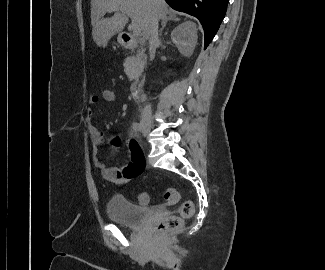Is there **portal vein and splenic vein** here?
Returning <instances> with one entry per match:
<instances>
[{
  "label": "portal vein and splenic vein",
  "mask_w": 325,
  "mask_h": 270,
  "mask_svg": "<svg viewBox=\"0 0 325 270\" xmlns=\"http://www.w3.org/2000/svg\"><path fill=\"white\" fill-rule=\"evenodd\" d=\"M118 9H119V8H111V9L109 10V12H110V11H116V10H118ZM121 10H122V9H121ZM131 29H132L133 33H135L136 36H140V35H141L140 27H139V25H138L135 21H132V23H131Z\"/></svg>",
  "instance_id": "obj_1"
}]
</instances>
